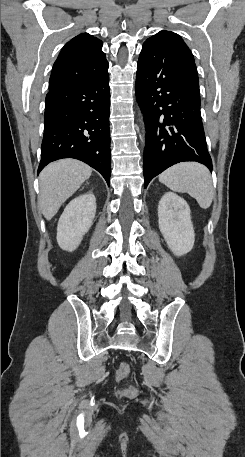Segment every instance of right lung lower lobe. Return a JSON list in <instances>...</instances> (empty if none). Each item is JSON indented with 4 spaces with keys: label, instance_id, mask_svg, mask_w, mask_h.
Returning a JSON list of instances; mask_svg holds the SVG:
<instances>
[{
    "label": "right lung lower lobe",
    "instance_id": "right-lung-lower-lobe-1",
    "mask_svg": "<svg viewBox=\"0 0 245 457\" xmlns=\"http://www.w3.org/2000/svg\"><path fill=\"white\" fill-rule=\"evenodd\" d=\"M108 71L80 78L46 96L44 137L38 173L62 158L81 160L110 181Z\"/></svg>",
    "mask_w": 245,
    "mask_h": 457
}]
</instances>
